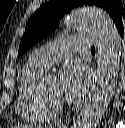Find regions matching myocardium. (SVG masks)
Instances as JSON below:
<instances>
[{"mask_svg":"<svg viewBox=\"0 0 125 128\" xmlns=\"http://www.w3.org/2000/svg\"><path fill=\"white\" fill-rule=\"evenodd\" d=\"M38 94L43 106L53 115L60 114L65 109L63 103L50 98L43 90L42 83L38 86Z\"/></svg>","mask_w":125,"mask_h":128,"instance_id":"obj_1","label":"myocardium"}]
</instances>
